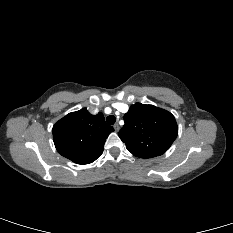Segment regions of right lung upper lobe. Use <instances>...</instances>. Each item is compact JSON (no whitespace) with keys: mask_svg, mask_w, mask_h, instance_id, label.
Here are the masks:
<instances>
[{"mask_svg":"<svg viewBox=\"0 0 233 233\" xmlns=\"http://www.w3.org/2000/svg\"><path fill=\"white\" fill-rule=\"evenodd\" d=\"M113 127L102 113L91 115L86 108L67 114L53 126L57 151L76 164H89L99 158Z\"/></svg>","mask_w":233,"mask_h":233,"instance_id":"right-lung-upper-lobe-1","label":"right lung upper lobe"}]
</instances>
